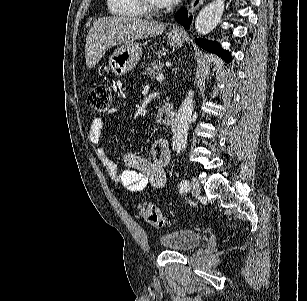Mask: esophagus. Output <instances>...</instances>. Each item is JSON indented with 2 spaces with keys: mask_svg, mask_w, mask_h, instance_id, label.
Listing matches in <instances>:
<instances>
[{
  "mask_svg": "<svg viewBox=\"0 0 307 301\" xmlns=\"http://www.w3.org/2000/svg\"><path fill=\"white\" fill-rule=\"evenodd\" d=\"M204 0H192L189 13L193 14L198 10V8L202 5ZM184 33V30L181 27H176L171 30V34L176 38H181V35Z\"/></svg>",
  "mask_w": 307,
  "mask_h": 301,
  "instance_id": "1",
  "label": "esophagus"
}]
</instances>
